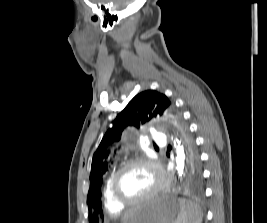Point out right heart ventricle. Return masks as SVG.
I'll use <instances>...</instances> for the list:
<instances>
[{"mask_svg":"<svg viewBox=\"0 0 267 223\" xmlns=\"http://www.w3.org/2000/svg\"><path fill=\"white\" fill-rule=\"evenodd\" d=\"M113 172L108 175L105 180L104 187H103V203L105 209L110 214H120L125 210L124 206L119 205L114 198L112 197L111 190H110V181L113 176Z\"/></svg>","mask_w":267,"mask_h":223,"instance_id":"right-heart-ventricle-1","label":"right heart ventricle"}]
</instances>
